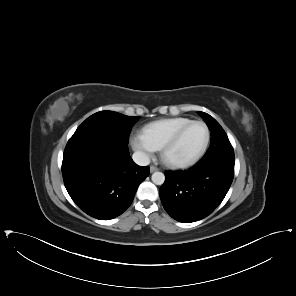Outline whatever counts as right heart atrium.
I'll use <instances>...</instances> for the list:
<instances>
[{"label":"right heart atrium","instance_id":"obj_1","mask_svg":"<svg viewBox=\"0 0 296 296\" xmlns=\"http://www.w3.org/2000/svg\"><path fill=\"white\" fill-rule=\"evenodd\" d=\"M130 143L143 159L151 158L158 150L142 133H134L130 138Z\"/></svg>","mask_w":296,"mask_h":296}]
</instances>
